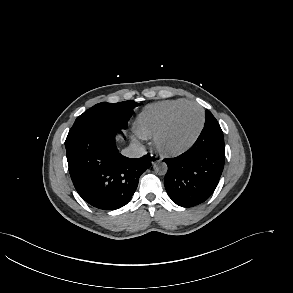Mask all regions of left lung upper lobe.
<instances>
[{
  "instance_id": "obj_1",
  "label": "left lung upper lobe",
  "mask_w": 293,
  "mask_h": 293,
  "mask_svg": "<svg viewBox=\"0 0 293 293\" xmlns=\"http://www.w3.org/2000/svg\"><path fill=\"white\" fill-rule=\"evenodd\" d=\"M205 116H206L205 125L210 122H217V120L215 119V117L212 115V113L209 110H206Z\"/></svg>"
}]
</instances>
